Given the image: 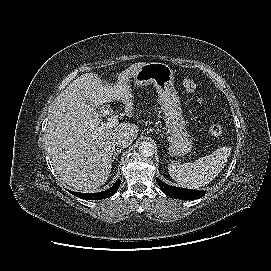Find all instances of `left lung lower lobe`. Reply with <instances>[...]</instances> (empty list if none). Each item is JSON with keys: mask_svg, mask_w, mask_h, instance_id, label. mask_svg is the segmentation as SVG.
<instances>
[{"mask_svg": "<svg viewBox=\"0 0 271 271\" xmlns=\"http://www.w3.org/2000/svg\"><path fill=\"white\" fill-rule=\"evenodd\" d=\"M156 181L160 189L166 195L175 199H185V200L198 199V198L203 197L205 194L204 191L190 190V189L170 186L162 182L159 178H156Z\"/></svg>", "mask_w": 271, "mask_h": 271, "instance_id": "left-lung-lower-lobe-1", "label": "left lung lower lobe"}]
</instances>
